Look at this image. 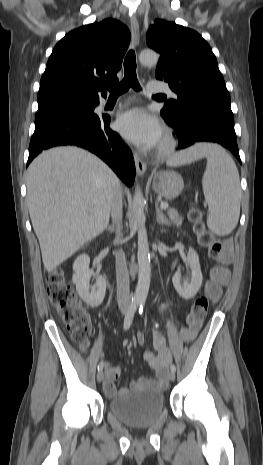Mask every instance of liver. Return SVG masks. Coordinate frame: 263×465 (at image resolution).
Instances as JSON below:
<instances>
[{
	"label": "liver",
	"instance_id": "obj_1",
	"mask_svg": "<svg viewBox=\"0 0 263 465\" xmlns=\"http://www.w3.org/2000/svg\"><path fill=\"white\" fill-rule=\"evenodd\" d=\"M26 186L30 218L50 272L107 228L120 181L95 155L67 146L36 157Z\"/></svg>",
	"mask_w": 263,
	"mask_h": 465
}]
</instances>
